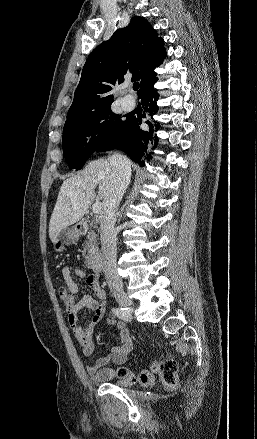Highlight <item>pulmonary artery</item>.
Returning a JSON list of instances; mask_svg holds the SVG:
<instances>
[{"label": "pulmonary artery", "mask_w": 257, "mask_h": 439, "mask_svg": "<svg viewBox=\"0 0 257 439\" xmlns=\"http://www.w3.org/2000/svg\"><path fill=\"white\" fill-rule=\"evenodd\" d=\"M121 103L125 109L131 110L135 107L136 100L134 97H132L130 95H126L121 99Z\"/></svg>", "instance_id": "e3ab8cb5"}]
</instances>
